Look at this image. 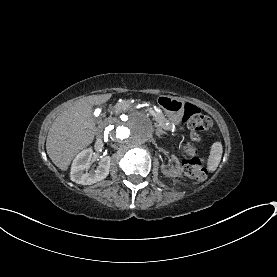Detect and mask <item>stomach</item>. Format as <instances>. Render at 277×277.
<instances>
[{
	"mask_svg": "<svg viewBox=\"0 0 277 277\" xmlns=\"http://www.w3.org/2000/svg\"><path fill=\"white\" fill-rule=\"evenodd\" d=\"M159 106L164 110L167 118L173 124L180 123L184 110L185 103L176 97L162 95L157 100Z\"/></svg>",
	"mask_w": 277,
	"mask_h": 277,
	"instance_id": "stomach-1",
	"label": "stomach"
}]
</instances>
